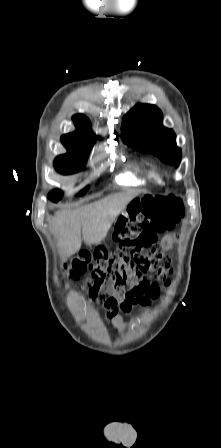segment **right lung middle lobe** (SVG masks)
<instances>
[{"mask_svg":"<svg viewBox=\"0 0 221 448\" xmlns=\"http://www.w3.org/2000/svg\"><path fill=\"white\" fill-rule=\"evenodd\" d=\"M85 163L86 159L75 158L65 154L56 158L54 166L61 174H72L84 169ZM85 191H81L79 195H83ZM62 195V191L55 190L48 195V198L53 202H58L62 198Z\"/></svg>","mask_w":221,"mask_h":448,"instance_id":"dd1d6c3e","label":"right lung middle lobe"}]
</instances>
